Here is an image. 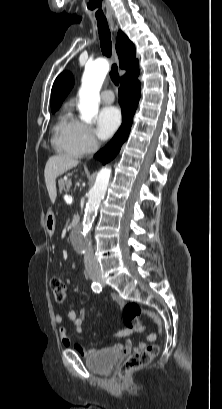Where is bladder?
I'll list each match as a JSON object with an SVG mask.
<instances>
[{
  "mask_svg": "<svg viewBox=\"0 0 222 409\" xmlns=\"http://www.w3.org/2000/svg\"><path fill=\"white\" fill-rule=\"evenodd\" d=\"M119 352L113 348L102 349L87 357L86 366L99 375L109 374L119 359Z\"/></svg>",
  "mask_w": 222,
  "mask_h": 409,
  "instance_id": "31cf9c89",
  "label": "bladder"
}]
</instances>
